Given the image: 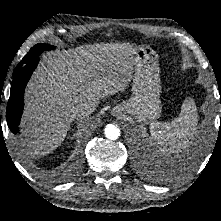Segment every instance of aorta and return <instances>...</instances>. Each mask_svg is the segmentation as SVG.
<instances>
[{
	"mask_svg": "<svg viewBox=\"0 0 221 221\" xmlns=\"http://www.w3.org/2000/svg\"><path fill=\"white\" fill-rule=\"evenodd\" d=\"M104 133L107 139L116 140L120 136V129L113 124H108L104 129Z\"/></svg>",
	"mask_w": 221,
	"mask_h": 221,
	"instance_id": "obj_1",
	"label": "aorta"
}]
</instances>
